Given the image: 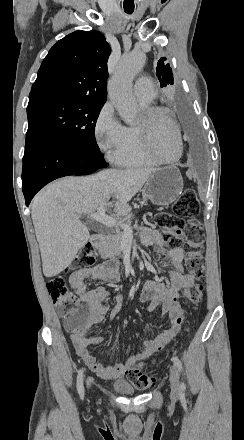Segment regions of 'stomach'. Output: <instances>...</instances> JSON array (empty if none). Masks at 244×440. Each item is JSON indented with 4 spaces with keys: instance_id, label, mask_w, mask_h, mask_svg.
<instances>
[{
    "instance_id": "1",
    "label": "stomach",
    "mask_w": 244,
    "mask_h": 440,
    "mask_svg": "<svg viewBox=\"0 0 244 440\" xmlns=\"http://www.w3.org/2000/svg\"><path fill=\"white\" fill-rule=\"evenodd\" d=\"M183 178L176 166L157 168L150 174L142 190L144 200H150L156 206H168L179 198L183 190Z\"/></svg>"
}]
</instances>
